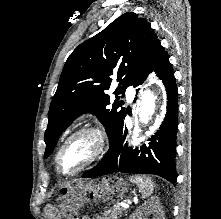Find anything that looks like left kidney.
<instances>
[{
	"instance_id": "1",
	"label": "left kidney",
	"mask_w": 221,
	"mask_h": 219,
	"mask_svg": "<svg viewBox=\"0 0 221 219\" xmlns=\"http://www.w3.org/2000/svg\"><path fill=\"white\" fill-rule=\"evenodd\" d=\"M148 214H153V219H164L159 198L152 197L147 200L130 216V219H146Z\"/></svg>"
}]
</instances>
